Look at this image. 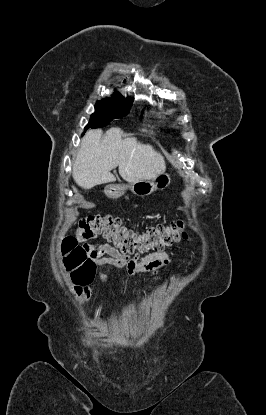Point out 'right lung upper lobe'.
<instances>
[{
	"label": "right lung upper lobe",
	"mask_w": 266,
	"mask_h": 415,
	"mask_svg": "<svg viewBox=\"0 0 266 415\" xmlns=\"http://www.w3.org/2000/svg\"><path fill=\"white\" fill-rule=\"evenodd\" d=\"M114 97H122V95L121 94H119V93H116L114 96H113V98ZM106 99H108V98H106Z\"/></svg>",
	"instance_id": "right-lung-upper-lobe-1"
}]
</instances>
